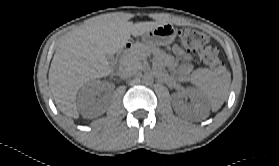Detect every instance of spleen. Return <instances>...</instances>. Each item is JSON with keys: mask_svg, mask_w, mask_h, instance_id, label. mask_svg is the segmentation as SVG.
Instances as JSON below:
<instances>
[{"mask_svg": "<svg viewBox=\"0 0 279 166\" xmlns=\"http://www.w3.org/2000/svg\"><path fill=\"white\" fill-rule=\"evenodd\" d=\"M191 82L205 97L212 111L221 108L229 94L230 73L218 76L207 68L197 69L191 76Z\"/></svg>", "mask_w": 279, "mask_h": 166, "instance_id": "obj_1", "label": "spleen"}]
</instances>
